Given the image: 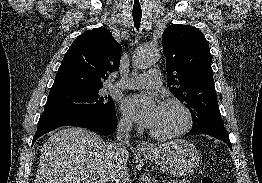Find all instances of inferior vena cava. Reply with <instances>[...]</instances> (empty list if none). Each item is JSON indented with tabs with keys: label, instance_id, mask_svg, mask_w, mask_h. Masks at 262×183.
<instances>
[{
	"label": "inferior vena cava",
	"instance_id": "inferior-vena-cava-1",
	"mask_svg": "<svg viewBox=\"0 0 262 183\" xmlns=\"http://www.w3.org/2000/svg\"><path fill=\"white\" fill-rule=\"evenodd\" d=\"M132 128V122L128 119H122L118 123L116 137L119 143H109L107 145L108 150L114 160H120L117 166V172L115 176L116 183H131L129 179L128 169L125 161L128 158V152L126 150L125 142L129 140Z\"/></svg>",
	"mask_w": 262,
	"mask_h": 183
}]
</instances>
